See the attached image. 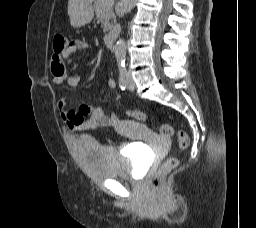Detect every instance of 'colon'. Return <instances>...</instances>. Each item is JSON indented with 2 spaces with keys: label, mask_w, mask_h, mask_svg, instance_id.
Listing matches in <instances>:
<instances>
[{
  "label": "colon",
  "mask_w": 256,
  "mask_h": 228,
  "mask_svg": "<svg viewBox=\"0 0 256 228\" xmlns=\"http://www.w3.org/2000/svg\"><path fill=\"white\" fill-rule=\"evenodd\" d=\"M67 47V41L64 36L58 34L53 38V50L54 53L59 54ZM131 117L134 120L141 121L145 118V114L142 111L135 110L131 113ZM158 132L162 137H171L174 134V128L170 124H162L158 127ZM178 139L179 148L185 150L189 146V137L183 130H178L176 132ZM179 163L177 158H169L160 167L158 173L156 174L153 185L155 188H160L164 182L165 176L171 170H173Z\"/></svg>",
  "instance_id": "1"
}]
</instances>
